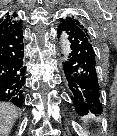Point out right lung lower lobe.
Instances as JSON below:
<instances>
[{
	"label": "right lung lower lobe",
	"instance_id": "98d812e1",
	"mask_svg": "<svg viewBox=\"0 0 117 136\" xmlns=\"http://www.w3.org/2000/svg\"><path fill=\"white\" fill-rule=\"evenodd\" d=\"M25 72L23 30L19 20L0 39V101L23 106Z\"/></svg>",
	"mask_w": 117,
	"mask_h": 136
}]
</instances>
